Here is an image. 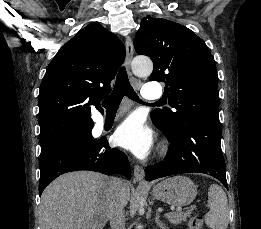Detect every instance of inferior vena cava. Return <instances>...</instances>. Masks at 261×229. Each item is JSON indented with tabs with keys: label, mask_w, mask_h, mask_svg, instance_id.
Masks as SVG:
<instances>
[{
	"label": "inferior vena cava",
	"mask_w": 261,
	"mask_h": 229,
	"mask_svg": "<svg viewBox=\"0 0 261 229\" xmlns=\"http://www.w3.org/2000/svg\"><path fill=\"white\" fill-rule=\"evenodd\" d=\"M124 187L121 179H111L108 189V215L111 229H125V211L121 199V191Z\"/></svg>",
	"instance_id": "obj_1"
}]
</instances>
